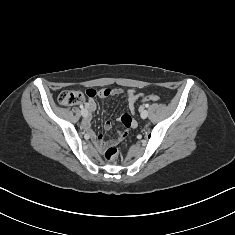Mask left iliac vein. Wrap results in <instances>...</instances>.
<instances>
[{
    "mask_svg": "<svg viewBox=\"0 0 235 235\" xmlns=\"http://www.w3.org/2000/svg\"><path fill=\"white\" fill-rule=\"evenodd\" d=\"M148 117V111L147 110H142L141 112V118L145 119Z\"/></svg>",
    "mask_w": 235,
    "mask_h": 235,
    "instance_id": "4c4485c4",
    "label": "left iliac vein"
}]
</instances>
